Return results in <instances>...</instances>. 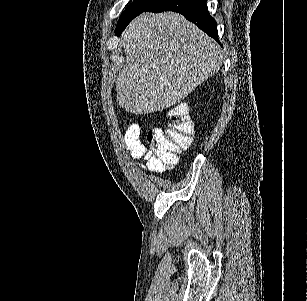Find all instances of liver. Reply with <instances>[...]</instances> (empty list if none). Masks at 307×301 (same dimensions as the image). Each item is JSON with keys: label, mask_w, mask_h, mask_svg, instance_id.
Instances as JSON below:
<instances>
[{"label": "liver", "mask_w": 307, "mask_h": 301, "mask_svg": "<svg viewBox=\"0 0 307 301\" xmlns=\"http://www.w3.org/2000/svg\"><path fill=\"white\" fill-rule=\"evenodd\" d=\"M126 64L116 78L117 102L148 114L184 100L222 64V48L178 12H142L122 36Z\"/></svg>", "instance_id": "obj_1"}]
</instances>
